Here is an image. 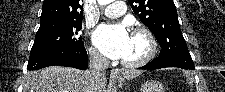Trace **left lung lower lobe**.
Listing matches in <instances>:
<instances>
[{
  "mask_svg": "<svg viewBox=\"0 0 225 92\" xmlns=\"http://www.w3.org/2000/svg\"><path fill=\"white\" fill-rule=\"evenodd\" d=\"M164 67H178L182 69H194V63L191 56H180V57H168L161 58L157 57L147 65L140 69L154 70Z\"/></svg>",
  "mask_w": 225,
  "mask_h": 92,
  "instance_id": "1",
  "label": "left lung lower lobe"
}]
</instances>
